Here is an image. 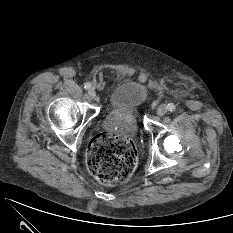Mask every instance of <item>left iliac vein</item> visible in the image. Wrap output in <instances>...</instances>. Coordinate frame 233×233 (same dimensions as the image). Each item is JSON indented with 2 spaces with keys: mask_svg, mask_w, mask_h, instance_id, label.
<instances>
[{
  "mask_svg": "<svg viewBox=\"0 0 233 233\" xmlns=\"http://www.w3.org/2000/svg\"><path fill=\"white\" fill-rule=\"evenodd\" d=\"M167 111H168L167 106L165 104H162L158 107L157 114L159 116H163L167 113Z\"/></svg>",
  "mask_w": 233,
  "mask_h": 233,
  "instance_id": "left-iliac-vein-1",
  "label": "left iliac vein"
}]
</instances>
